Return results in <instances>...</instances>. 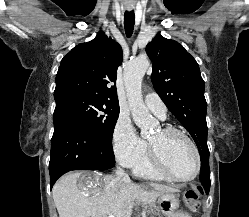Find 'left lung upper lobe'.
Instances as JSON below:
<instances>
[{
    "instance_id": "left-lung-upper-lobe-1",
    "label": "left lung upper lobe",
    "mask_w": 249,
    "mask_h": 217,
    "mask_svg": "<svg viewBox=\"0 0 249 217\" xmlns=\"http://www.w3.org/2000/svg\"><path fill=\"white\" fill-rule=\"evenodd\" d=\"M146 52L153 62L151 79L157 94L191 134L200 153L201 170L210 174L207 103L196 60L181 44L160 34L148 43Z\"/></svg>"
}]
</instances>
